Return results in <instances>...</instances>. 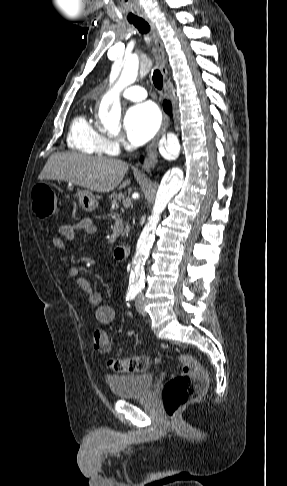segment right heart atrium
I'll use <instances>...</instances> for the list:
<instances>
[{
	"label": "right heart atrium",
	"mask_w": 287,
	"mask_h": 486,
	"mask_svg": "<svg viewBox=\"0 0 287 486\" xmlns=\"http://www.w3.org/2000/svg\"><path fill=\"white\" fill-rule=\"evenodd\" d=\"M121 143L120 139H107V148L111 153H116L119 151Z\"/></svg>",
	"instance_id": "d8ad5b80"
}]
</instances>
